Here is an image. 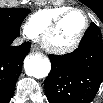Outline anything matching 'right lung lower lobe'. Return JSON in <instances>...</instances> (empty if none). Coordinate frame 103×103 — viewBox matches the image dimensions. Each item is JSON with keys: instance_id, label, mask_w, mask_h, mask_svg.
Listing matches in <instances>:
<instances>
[{"instance_id": "98d812e1", "label": "right lung lower lobe", "mask_w": 103, "mask_h": 103, "mask_svg": "<svg viewBox=\"0 0 103 103\" xmlns=\"http://www.w3.org/2000/svg\"><path fill=\"white\" fill-rule=\"evenodd\" d=\"M19 33L0 29V102H8L14 94L16 81L22 70L24 57L30 50V42L15 46Z\"/></svg>"}]
</instances>
